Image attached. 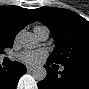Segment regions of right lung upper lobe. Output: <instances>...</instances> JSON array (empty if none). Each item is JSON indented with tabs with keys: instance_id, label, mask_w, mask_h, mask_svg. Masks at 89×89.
Segmentation results:
<instances>
[{
	"instance_id": "right-lung-upper-lobe-1",
	"label": "right lung upper lobe",
	"mask_w": 89,
	"mask_h": 89,
	"mask_svg": "<svg viewBox=\"0 0 89 89\" xmlns=\"http://www.w3.org/2000/svg\"><path fill=\"white\" fill-rule=\"evenodd\" d=\"M35 21L32 10L19 6L0 8V43L13 45L16 34L29 22Z\"/></svg>"
}]
</instances>
